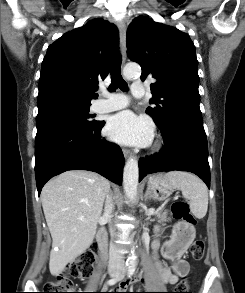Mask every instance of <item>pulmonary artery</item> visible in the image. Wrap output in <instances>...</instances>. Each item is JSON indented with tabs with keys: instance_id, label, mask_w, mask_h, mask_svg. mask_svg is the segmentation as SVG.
<instances>
[{
	"instance_id": "e3ab8cb5",
	"label": "pulmonary artery",
	"mask_w": 245,
	"mask_h": 293,
	"mask_svg": "<svg viewBox=\"0 0 245 293\" xmlns=\"http://www.w3.org/2000/svg\"><path fill=\"white\" fill-rule=\"evenodd\" d=\"M131 91L135 97H141L146 94L145 87L142 83H133ZM101 95L103 96V99L97 101L94 107L96 112H112L123 109L129 104L127 97L123 94L102 91Z\"/></svg>"
}]
</instances>
